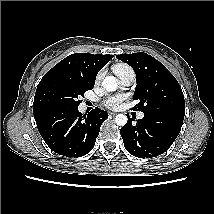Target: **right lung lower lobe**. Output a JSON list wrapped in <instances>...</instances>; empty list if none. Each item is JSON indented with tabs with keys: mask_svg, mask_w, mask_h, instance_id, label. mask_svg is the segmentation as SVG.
Returning a JSON list of instances; mask_svg holds the SVG:
<instances>
[{
	"mask_svg": "<svg viewBox=\"0 0 214 214\" xmlns=\"http://www.w3.org/2000/svg\"><path fill=\"white\" fill-rule=\"evenodd\" d=\"M107 117V113L99 108L86 115L77 107L49 111L35 121L52 151L66 157H79L93 149L100 126Z\"/></svg>",
	"mask_w": 214,
	"mask_h": 214,
	"instance_id": "1",
	"label": "right lung lower lobe"
}]
</instances>
